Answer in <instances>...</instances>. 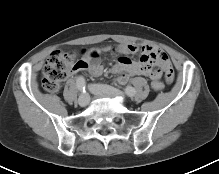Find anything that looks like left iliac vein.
I'll return each instance as SVG.
<instances>
[{
	"label": "left iliac vein",
	"mask_w": 219,
	"mask_h": 174,
	"mask_svg": "<svg viewBox=\"0 0 219 174\" xmlns=\"http://www.w3.org/2000/svg\"><path fill=\"white\" fill-rule=\"evenodd\" d=\"M89 90L91 93L95 95H109V96H120L124 97L123 93L115 88L109 87L107 85H97L91 84L89 85Z\"/></svg>",
	"instance_id": "obj_1"
}]
</instances>
